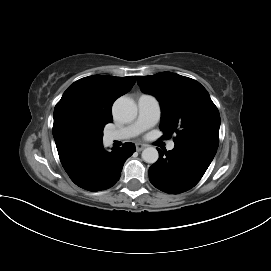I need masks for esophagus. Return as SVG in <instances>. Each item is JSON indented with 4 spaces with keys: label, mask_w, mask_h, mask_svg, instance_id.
<instances>
[{
    "label": "esophagus",
    "mask_w": 271,
    "mask_h": 271,
    "mask_svg": "<svg viewBox=\"0 0 271 271\" xmlns=\"http://www.w3.org/2000/svg\"><path fill=\"white\" fill-rule=\"evenodd\" d=\"M146 147L145 144L137 143L136 144V150L137 151H142Z\"/></svg>",
    "instance_id": "34e87169"
}]
</instances>
